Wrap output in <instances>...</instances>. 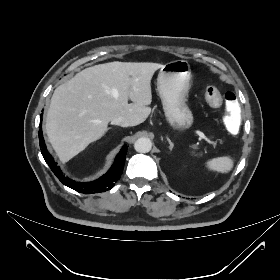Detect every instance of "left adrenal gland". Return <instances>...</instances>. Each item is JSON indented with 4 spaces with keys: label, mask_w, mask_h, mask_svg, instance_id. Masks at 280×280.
Masks as SVG:
<instances>
[{
    "label": "left adrenal gland",
    "mask_w": 280,
    "mask_h": 280,
    "mask_svg": "<svg viewBox=\"0 0 280 280\" xmlns=\"http://www.w3.org/2000/svg\"><path fill=\"white\" fill-rule=\"evenodd\" d=\"M167 141H168V143H169V149L172 150L173 147H174L173 142H172L169 138H167Z\"/></svg>",
    "instance_id": "a2214340"
}]
</instances>
